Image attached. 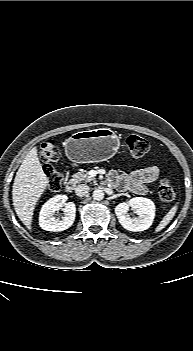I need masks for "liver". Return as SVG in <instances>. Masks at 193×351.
Instances as JSON below:
<instances>
[{
  "label": "liver",
  "mask_w": 193,
  "mask_h": 351,
  "mask_svg": "<svg viewBox=\"0 0 193 351\" xmlns=\"http://www.w3.org/2000/svg\"><path fill=\"white\" fill-rule=\"evenodd\" d=\"M49 181L39 161L37 148H32L20 165L13 183L12 200L15 212L31 230L33 212Z\"/></svg>",
  "instance_id": "1"
}]
</instances>
